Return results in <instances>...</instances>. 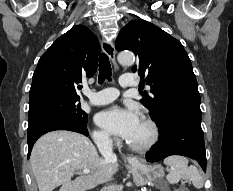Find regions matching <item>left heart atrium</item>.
I'll return each instance as SVG.
<instances>
[{"instance_id":"left-heart-atrium-1","label":"left heart atrium","mask_w":233,"mask_h":191,"mask_svg":"<svg viewBox=\"0 0 233 191\" xmlns=\"http://www.w3.org/2000/svg\"><path fill=\"white\" fill-rule=\"evenodd\" d=\"M96 121L107 131L129 140L138 126L140 118L132 108L112 107L100 112Z\"/></svg>"}]
</instances>
